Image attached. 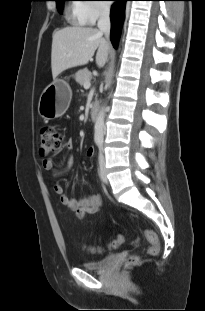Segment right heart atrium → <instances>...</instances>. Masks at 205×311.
Segmentation results:
<instances>
[{
    "instance_id": "right-heart-atrium-1",
    "label": "right heart atrium",
    "mask_w": 205,
    "mask_h": 311,
    "mask_svg": "<svg viewBox=\"0 0 205 311\" xmlns=\"http://www.w3.org/2000/svg\"><path fill=\"white\" fill-rule=\"evenodd\" d=\"M99 2L102 1H92L81 5L80 11L82 12L86 23L93 24L100 18L109 14V8Z\"/></svg>"
}]
</instances>
